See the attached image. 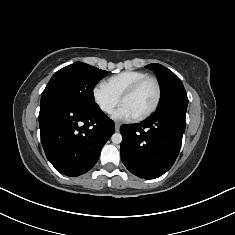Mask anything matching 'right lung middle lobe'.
Returning a JSON list of instances; mask_svg holds the SVG:
<instances>
[{
  "instance_id": "right-lung-middle-lobe-1",
  "label": "right lung middle lobe",
  "mask_w": 235,
  "mask_h": 235,
  "mask_svg": "<svg viewBox=\"0 0 235 235\" xmlns=\"http://www.w3.org/2000/svg\"><path fill=\"white\" fill-rule=\"evenodd\" d=\"M107 71L76 62L57 71L41 95L40 105L64 102L76 107H90L95 103L93 89Z\"/></svg>"
}]
</instances>
